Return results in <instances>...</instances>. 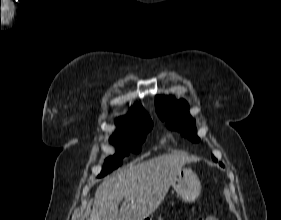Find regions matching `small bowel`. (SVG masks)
Segmentation results:
<instances>
[{
    "instance_id": "obj_1",
    "label": "small bowel",
    "mask_w": 281,
    "mask_h": 220,
    "mask_svg": "<svg viewBox=\"0 0 281 220\" xmlns=\"http://www.w3.org/2000/svg\"><path fill=\"white\" fill-rule=\"evenodd\" d=\"M202 220H219L218 218L214 217V216H209L205 219H202Z\"/></svg>"
}]
</instances>
